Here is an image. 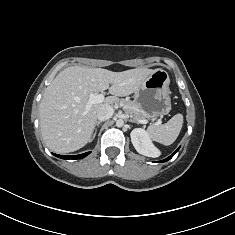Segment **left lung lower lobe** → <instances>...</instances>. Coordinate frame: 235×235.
Here are the masks:
<instances>
[{
  "mask_svg": "<svg viewBox=\"0 0 235 235\" xmlns=\"http://www.w3.org/2000/svg\"><path fill=\"white\" fill-rule=\"evenodd\" d=\"M178 150H179V148H178L171 156H169L168 158H166V159H164V160H162V161H160V162H166V161H168L169 159H171V158L174 156V154H175Z\"/></svg>",
  "mask_w": 235,
  "mask_h": 235,
  "instance_id": "0a47b994",
  "label": "left lung lower lobe"
}]
</instances>
